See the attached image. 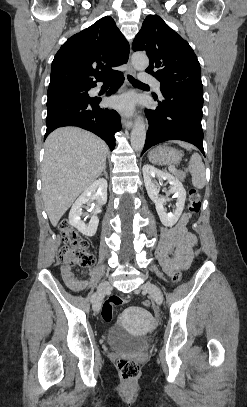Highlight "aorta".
Returning <instances> with one entry per match:
<instances>
[{
  "label": "aorta",
  "instance_id": "1",
  "mask_svg": "<svg viewBox=\"0 0 247 407\" xmlns=\"http://www.w3.org/2000/svg\"><path fill=\"white\" fill-rule=\"evenodd\" d=\"M132 66L136 70L143 71L149 65V59L145 53L136 52L131 58ZM146 139V130L143 119L138 117L133 125L131 132V145L135 151H141L144 147Z\"/></svg>",
  "mask_w": 247,
  "mask_h": 407
}]
</instances>
